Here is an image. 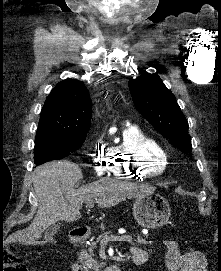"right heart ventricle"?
<instances>
[{
  "instance_id": "e07e8e85",
  "label": "right heart ventricle",
  "mask_w": 221,
  "mask_h": 271,
  "mask_svg": "<svg viewBox=\"0 0 221 271\" xmlns=\"http://www.w3.org/2000/svg\"><path fill=\"white\" fill-rule=\"evenodd\" d=\"M120 150L125 154H118V158H108V168L111 176L118 179H155L159 172H168L165 167L167 161L164 143L157 137L140 133L133 139L121 138Z\"/></svg>"
}]
</instances>
